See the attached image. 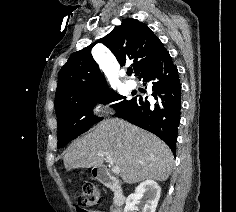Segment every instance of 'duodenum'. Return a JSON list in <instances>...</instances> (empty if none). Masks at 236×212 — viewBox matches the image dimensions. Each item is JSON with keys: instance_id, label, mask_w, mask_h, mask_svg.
<instances>
[{"instance_id": "obj_1", "label": "duodenum", "mask_w": 236, "mask_h": 212, "mask_svg": "<svg viewBox=\"0 0 236 212\" xmlns=\"http://www.w3.org/2000/svg\"><path fill=\"white\" fill-rule=\"evenodd\" d=\"M97 180L114 194V204L119 210L125 201L124 193L116 178L107 167L100 166L95 170ZM120 212V210H119Z\"/></svg>"}]
</instances>
